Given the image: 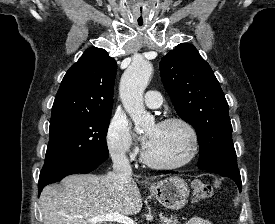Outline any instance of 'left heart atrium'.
<instances>
[{"mask_svg": "<svg viewBox=\"0 0 275 224\" xmlns=\"http://www.w3.org/2000/svg\"><path fill=\"white\" fill-rule=\"evenodd\" d=\"M144 141H145L146 146L148 147L150 144V138L147 136Z\"/></svg>", "mask_w": 275, "mask_h": 224, "instance_id": "39dd6f15", "label": "left heart atrium"}]
</instances>
